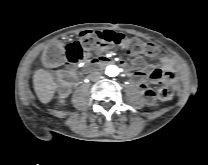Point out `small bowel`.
Masks as SVG:
<instances>
[{
  "instance_id": "small-bowel-1",
  "label": "small bowel",
  "mask_w": 208,
  "mask_h": 165,
  "mask_svg": "<svg viewBox=\"0 0 208 165\" xmlns=\"http://www.w3.org/2000/svg\"><path fill=\"white\" fill-rule=\"evenodd\" d=\"M102 49H105V46ZM110 62V56L95 55L94 57L89 58V64L91 66H96L97 64H109ZM121 65L125 69H129L126 62H121ZM64 68L68 73V79L60 83L62 88L70 86L72 82H77L80 77L74 62H67ZM131 68L134 69L133 77L138 82L143 95L150 104L153 103L155 96L154 91L150 87L151 82L173 83L176 80V68L174 62L167 55L161 56L156 64H147L141 55H136L131 60ZM66 93V89L61 90L62 95Z\"/></svg>"
}]
</instances>
